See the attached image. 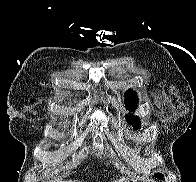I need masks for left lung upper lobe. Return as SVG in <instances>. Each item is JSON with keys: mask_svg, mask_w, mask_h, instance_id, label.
Here are the masks:
<instances>
[{"mask_svg": "<svg viewBox=\"0 0 196 182\" xmlns=\"http://www.w3.org/2000/svg\"><path fill=\"white\" fill-rule=\"evenodd\" d=\"M138 104V98H137V95L135 92H133L132 90H128L126 93H125V105H126V108L130 109V110H134L136 109V105ZM128 122L131 124L133 123V125L135 126V128H139L140 125H141V122L139 120L138 117L136 116H132V115H129L128 118H127ZM157 178H160L162 179L163 178V175L160 174V173H156L155 175Z\"/></svg>", "mask_w": 196, "mask_h": 182, "instance_id": "1", "label": "left lung upper lobe"}]
</instances>
